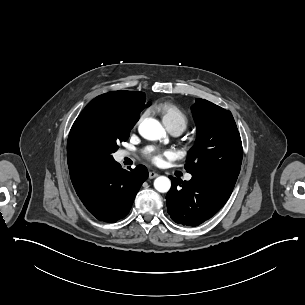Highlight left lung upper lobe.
Here are the masks:
<instances>
[{"mask_svg": "<svg viewBox=\"0 0 305 305\" xmlns=\"http://www.w3.org/2000/svg\"><path fill=\"white\" fill-rule=\"evenodd\" d=\"M192 113L197 138L188 153L186 171L195 176L236 181L243 151L231 112L197 98Z\"/></svg>", "mask_w": 305, "mask_h": 305, "instance_id": "obj_1", "label": "left lung upper lobe"}]
</instances>
